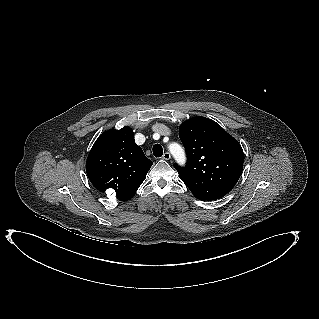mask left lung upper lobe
I'll list each match as a JSON object with an SVG mask.
<instances>
[{
	"label": "left lung upper lobe",
	"mask_w": 319,
	"mask_h": 319,
	"mask_svg": "<svg viewBox=\"0 0 319 319\" xmlns=\"http://www.w3.org/2000/svg\"><path fill=\"white\" fill-rule=\"evenodd\" d=\"M185 147V167L174 164L181 180L200 200L224 197L235 186L243 170L241 145L219 124L194 117L180 125Z\"/></svg>",
	"instance_id": "left-lung-upper-lobe-1"
}]
</instances>
